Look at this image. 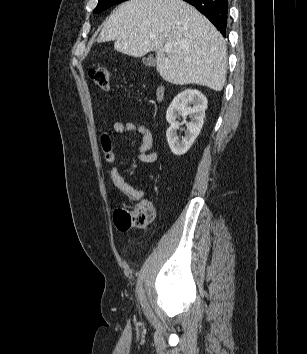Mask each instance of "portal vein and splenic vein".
<instances>
[{"label": "portal vein and splenic vein", "instance_id": "18ae733b", "mask_svg": "<svg viewBox=\"0 0 307 354\" xmlns=\"http://www.w3.org/2000/svg\"><path fill=\"white\" fill-rule=\"evenodd\" d=\"M170 49H171L170 45H165L164 48H163L165 53H168L170 51Z\"/></svg>", "mask_w": 307, "mask_h": 354}]
</instances>
